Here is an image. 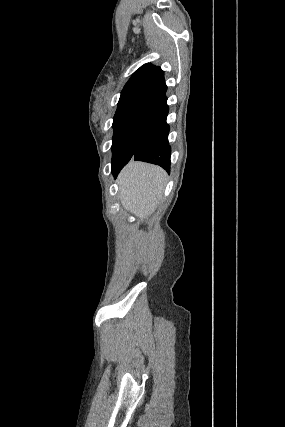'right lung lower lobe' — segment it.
<instances>
[{
    "label": "right lung lower lobe",
    "mask_w": 285,
    "mask_h": 427,
    "mask_svg": "<svg viewBox=\"0 0 285 427\" xmlns=\"http://www.w3.org/2000/svg\"><path fill=\"white\" fill-rule=\"evenodd\" d=\"M168 110L166 100L146 114L141 133L142 143L132 159L159 165L169 172L171 147L168 142L169 125L166 122ZM123 167L112 170L113 175L116 177Z\"/></svg>",
    "instance_id": "obj_1"
}]
</instances>
